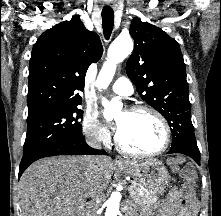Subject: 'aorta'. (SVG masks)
<instances>
[{"instance_id":"762f6f07","label":"aorta","mask_w":221,"mask_h":216,"mask_svg":"<svg viewBox=\"0 0 221 216\" xmlns=\"http://www.w3.org/2000/svg\"><path fill=\"white\" fill-rule=\"evenodd\" d=\"M133 51V41L129 36H119L110 45L107 54V60L98 75L96 86L98 89H104L111 83L118 63L122 62ZM104 118L111 120L120 113L122 103L118 100L107 101L103 99ZM121 194L113 192L107 200L105 216H118L120 214Z\"/></svg>"}]
</instances>
